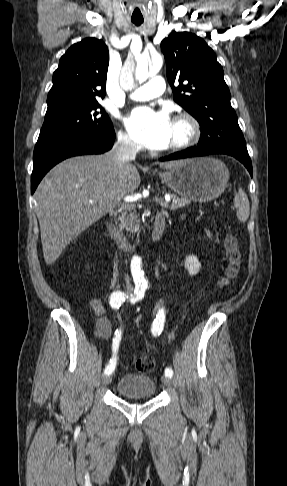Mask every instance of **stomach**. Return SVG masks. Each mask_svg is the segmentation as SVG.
<instances>
[{
    "label": "stomach",
    "instance_id": "obj_1",
    "mask_svg": "<svg viewBox=\"0 0 287 486\" xmlns=\"http://www.w3.org/2000/svg\"><path fill=\"white\" fill-rule=\"evenodd\" d=\"M158 175L182 198L196 202H208L218 198L229 180L227 166L212 157L182 160L178 166L159 172Z\"/></svg>",
    "mask_w": 287,
    "mask_h": 486
}]
</instances>
